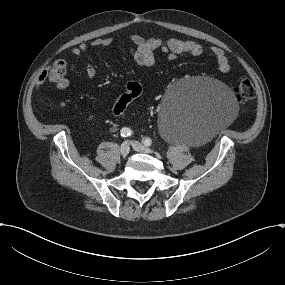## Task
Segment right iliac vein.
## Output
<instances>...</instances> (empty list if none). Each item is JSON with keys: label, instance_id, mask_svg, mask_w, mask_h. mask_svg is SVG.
<instances>
[{"label": "right iliac vein", "instance_id": "1", "mask_svg": "<svg viewBox=\"0 0 285 285\" xmlns=\"http://www.w3.org/2000/svg\"><path fill=\"white\" fill-rule=\"evenodd\" d=\"M120 152H121V155L123 157H126L129 154L130 147H129V144L127 142H124L121 144Z\"/></svg>", "mask_w": 285, "mask_h": 285}]
</instances>
